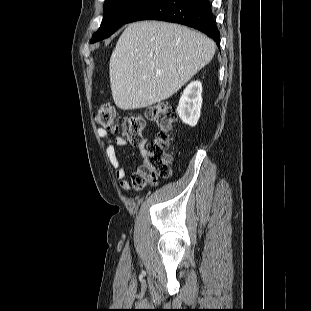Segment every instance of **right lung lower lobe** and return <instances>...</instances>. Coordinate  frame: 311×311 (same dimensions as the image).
Instances as JSON below:
<instances>
[{
    "instance_id": "98d812e1",
    "label": "right lung lower lobe",
    "mask_w": 311,
    "mask_h": 311,
    "mask_svg": "<svg viewBox=\"0 0 311 311\" xmlns=\"http://www.w3.org/2000/svg\"><path fill=\"white\" fill-rule=\"evenodd\" d=\"M161 20L197 29L220 46V33L208 0H154L136 12L127 23Z\"/></svg>"
}]
</instances>
